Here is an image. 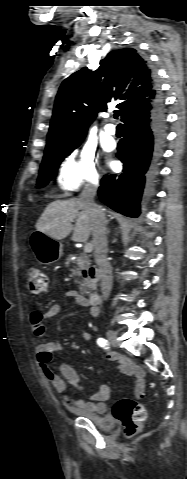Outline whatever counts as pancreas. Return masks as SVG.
I'll return each instance as SVG.
<instances>
[{"instance_id":"1","label":"pancreas","mask_w":187,"mask_h":479,"mask_svg":"<svg viewBox=\"0 0 187 479\" xmlns=\"http://www.w3.org/2000/svg\"><path fill=\"white\" fill-rule=\"evenodd\" d=\"M71 263L76 264V266L71 270L72 274L75 276H83V271L90 268V260L87 255L81 254L76 260H72V255H69L66 259V265L69 266ZM92 285V280L84 278L80 282L79 289L82 292H87L86 290L90 289Z\"/></svg>"}]
</instances>
